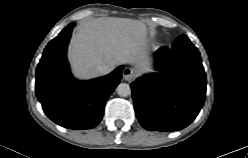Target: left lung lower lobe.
Instances as JSON below:
<instances>
[{"label": "left lung lower lobe", "mask_w": 248, "mask_h": 158, "mask_svg": "<svg viewBox=\"0 0 248 158\" xmlns=\"http://www.w3.org/2000/svg\"><path fill=\"white\" fill-rule=\"evenodd\" d=\"M159 73L131 84L136 116L149 131H177L188 126L204 104L206 75L191 41L176 39L156 53Z\"/></svg>", "instance_id": "0a47b994"}]
</instances>
